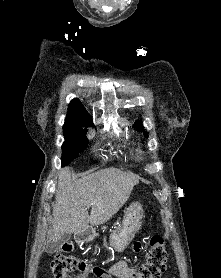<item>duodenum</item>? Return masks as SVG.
Returning <instances> with one entry per match:
<instances>
[{
	"mask_svg": "<svg viewBox=\"0 0 221 278\" xmlns=\"http://www.w3.org/2000/svg\"><path fill=\"white\" fill-rule=\"evenodd\" d=\"M91 234V229L90 228H86L85 230L79 232L77 235H76V240L79 242V243H83L86 241V239L90 236Z\"/></svg>",
	"mask_w": 221,
	"mask_h": 278,
	"instance_id": "1",
	"label": "duodenum"
}]
</instances>
